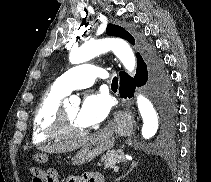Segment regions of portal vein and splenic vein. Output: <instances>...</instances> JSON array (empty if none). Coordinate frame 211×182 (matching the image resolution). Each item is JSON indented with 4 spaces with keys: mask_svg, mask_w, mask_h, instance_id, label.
<instances>
[{
    "mask_svg": "<svg viewBox=\"0 0 211 182\" xmlns=\"http://www.w3.org/2000/svg\"><path fill=\"white\" fill-rule=\"evenodd\" d=\"M119 171V168L118 167H114V172H118Z\"/></svg>",
    "mask_w": 211,
    "mask_h": 182,
    "instance_id": "18ae733b",
    "label": "portal vein and splenic vein"
}]
</instances>
